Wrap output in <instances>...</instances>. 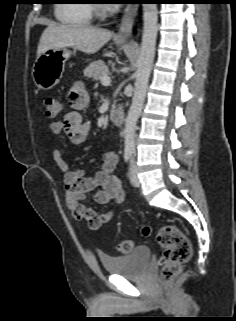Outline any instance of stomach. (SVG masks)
I'll return each instance as SVG.
<instances>
[{"instance_id": "stomach-1", "label": "stomach", "mask_w": 236, "mask_h": 321, "mask_svg": "<svg viewBox=\"0 0 236 321\" xmlns=\"http://www.w3.org/2000/svg\"><path fill=\"white\" fill-rule=\"evenodd\" d=\"M73 53L67 47H58L48 49L37 57L32 71L35 85L39 89L50 90L58 84L62 78L65 63Z\"/></svg>"}]
</instances>
